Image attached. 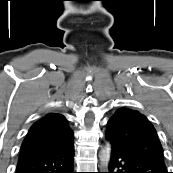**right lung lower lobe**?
<instances>
[{
  "instance_id": "obj_1",
  "label": "right lung lower lobe",
  "mask_w": 173,
  "mask_h": 173,
  "mask_svg": "<svg viewBox=\"0 0 173 173\" xmlns=\"http://www.w3.org/2000/svg\"><path fill=\"white\" fill-rule=\"evenodd\" d=\"M74 145L67 148L18 160L15 173H74Z\"/></svg>"
}]
</instances>
